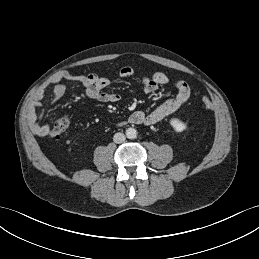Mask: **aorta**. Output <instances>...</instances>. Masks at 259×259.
Wrapping results in <instances>:
<instances>
[{
  "label": "aorta",
  "mask_w": 259,
  "mask_h": 259,
  "mask_svg": "<svg viewBox=\"0 0 259 259\" xmlns=\"http://www.w3.org/2000/svg\"><path fill=\"white\" fill-rule=\"evenodd\" d=\"M126 136L129 139H134L137 136V130L135 128H128L126 130Z\"/></svg>",
  "instance_id": "1"
}]
</instances>
